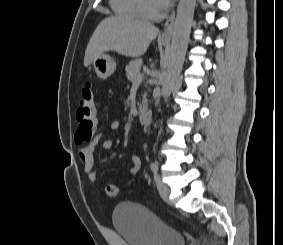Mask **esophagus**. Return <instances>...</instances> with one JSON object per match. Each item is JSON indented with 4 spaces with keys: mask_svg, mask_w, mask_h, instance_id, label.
I'll return each instance as SVG.
<instances>
[{
    "mask_svg": "<svg viewBox=\"0 0 283 245\" xmlns=\"http://www.w3.org/2000/svg\"><path fill=\"white\" fill-rule=\"evenodd\" d=\"M175 20V11L167 18L164 24L163 31L161 32L159 39L162 41H170L173 33V25Z\"/></svg>",
    "mask_w": 283,
    "mask_h": 245,
    "instance_id": "obj_1",
    "label": "esophagus"
}]
</instances>
